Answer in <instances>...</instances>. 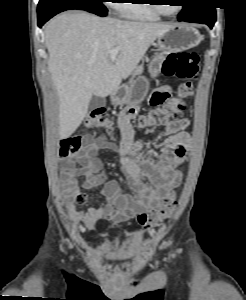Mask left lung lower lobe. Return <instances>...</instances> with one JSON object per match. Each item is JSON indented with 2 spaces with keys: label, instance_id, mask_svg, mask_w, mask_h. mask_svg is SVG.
I'll return each mask as SVG.
<instances>
[{
  "label": "left lung lower lobe",
  "instance_id": "obj_1",
  "mask_svg": "<svg viewBox=\"0 0 246 300\" xmlns=\"http://www.w3.org/2000/svg\"><path fill=\"white\" fill-rule=\"evenodd\" d=\"M179 21L185 22H195V23H202L208 25L210 28L213 27L216 21V11L215 8L212 6H208L196 13H193L186 17H179Z\"/></svg>",
  "mask_w": 246,
  "mask_h": 300
}]
</instances>
